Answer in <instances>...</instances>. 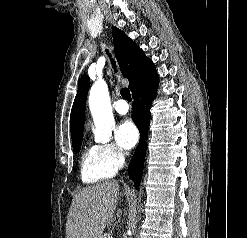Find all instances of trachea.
I'll list each match as a JSON object with an SVG mask.
<instances>
[{
  "label": "trachea",
  "mask_w": 247,
  "mask_h": 238,
  "mask_svg": "<svg viewBox=\"0 0 247 238\" xmlns=\"http://www.w3.org/2000/svg\"><path fill=\"white\" fill-rule=\"evenodd\" d=\"M109 56H110V54H109ZM112 65H113L114 71L117 72L115 61H112ZM120 93H121V96H122L125 100H127V101H131V100H132L129 89H127V88H122V89L120 90Z\"/></svg>",
  "instance_id": "trachea-1"
}]
</instances>
